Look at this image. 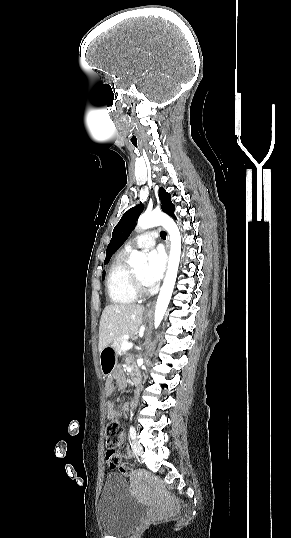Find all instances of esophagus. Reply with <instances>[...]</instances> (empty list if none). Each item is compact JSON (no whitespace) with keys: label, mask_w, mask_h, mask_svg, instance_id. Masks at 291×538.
<instances>
[{"label":"esophagus","mask_w":291,"mask_h":538,"mask_svg":"<svg viewBox=\"0 0 291 538\" xmlns=\"http://www.w3.org/2000/svg\"><path fill=\"white\" fill-rule=\"evenodd\" d=\"M169 236H167V241H166V247H167V250L169 251ZM154 303L155 301H152L148 304V310L149 311H152L153 310V307H154Z\"/></svg>","instance_id":"34e87169"}]
</instances>
